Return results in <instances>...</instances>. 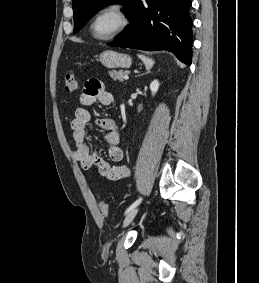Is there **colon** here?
Returning a JSON list of instances; mask_svg holds the SVG:
<instances>
[{"label":"colon","mask_w":259,"mask_h":283,"mask_svg":"<svg viewBox=\"0 0 259 283\" xmlns=\"http://www.w3.org/2000/svg\"><path fill=\"white\" fill-rule=\"evenodd\" d=\"M64 88L68 93H74L77 89V79L74 72L69 71L64 77ZM99 210L102 214H108L109 208L108 204L104 201L99 203Z\"/></svg>","instance_id":"1"}]
</instances>
